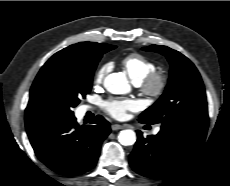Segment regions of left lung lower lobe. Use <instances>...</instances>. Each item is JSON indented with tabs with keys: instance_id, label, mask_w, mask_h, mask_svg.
Segmentation results:
<instances>
[{
	"instance_id": "1",
	"label": "left lung lower lobe",
	"mask_w": 230,
	"mask_h": 186,
	"mask_svg": "<svg viewBox=\"0 0 230 186\" xmlns=\"http://www.w3.org/2000/svg\"><path fill=\"white\" fill-rule=\"evenodd\" d=\"M208 121H182L161 126L157 135L137 142L129 156L132 169L153 179L170 178L185 167L204 143Z\"/></svg>"
}]
</instances>
